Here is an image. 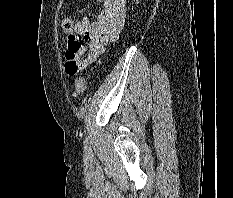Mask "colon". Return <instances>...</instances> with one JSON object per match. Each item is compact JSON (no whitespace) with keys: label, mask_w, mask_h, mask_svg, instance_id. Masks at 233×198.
<instances>
[{"label":"colon","mask_w":233,"mask_h":198,"mask_svg":"<svg viewBox=\"0 0 233 198\" xmlns=\"http://www.w3.org/2000/svg\"><path fill=\"white\" fill-rule=\"evenodd\" d=\"M100 1V0H98ZM62 28L65 32L71 33L74 28V22L71 18L66 17L62 19L61 22ZM79 43H74V47H78ZM65 71L68 75H76L79 71L78 62L75 59V55L73 52H68L66 55L65 62ZM85 80L83 77H78L75 82V91L77 94H81L85 89Z\"/></svg>","instance_id":"1"}]
</instances>
